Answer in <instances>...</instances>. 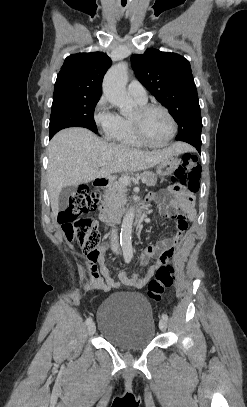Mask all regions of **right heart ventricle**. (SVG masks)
Listing matches in <instances>:
<instances>
[{"label":"right heart ventricle","mask_w":247,"mask_h":407,"mask_svg":"<svg viewBox=\"0 0 247 407\" xmlns=\"http://www.w3.org/2000/svg\"><path fill=\"white\" fill-rule=\"evenodd\" d=\"M135 102L138 106L145 104V102ZM111 139L125 147L138 148L142 146L133 134L130 117L126 116H119L118 125L112 134Z\"/></svg>","instance_id":"1"}]
</instances>
